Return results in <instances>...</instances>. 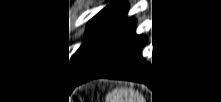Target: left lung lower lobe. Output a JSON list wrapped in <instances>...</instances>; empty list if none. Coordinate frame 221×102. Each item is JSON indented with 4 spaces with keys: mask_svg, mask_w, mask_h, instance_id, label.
Masks as SVG:
<instances>
[{
    "mask_svg": "<svg viewBox=\"0 0 221 102\" xmlns=\"http://www.w3.org/2000/svg\"><path fill=\"white\" fill-rule=\"evenodd\" d=\"M135 24V20H127L88 66L70 80L72 87L95 78L149 83L150 64L142 55L147 39L135 34Z\"/></svg>",
    "mask_w": 221,
    "mask_h": 102,
    "instance_id": "1",
    "label": "left lung lower lobe"
}]
</instances>
